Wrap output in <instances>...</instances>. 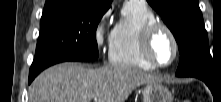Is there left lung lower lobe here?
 Returning a JSON list of instances; mask_svg holds the SVG:
<instances>
[{
  "label": "left lung lower lobe",
  "instance_id": "1",
  "mask_svg": "<svg viewBox=\"0 0 221 102\" xmlns=\"http://www.w3.org/2000/svg\"><path fill=\"white\" fill-rule=\"evenodd\" d=\"M199 79L203 80L208 85V87L212 88V83H213L212 78L211 79L210 78H199Z\"/></svg>",
  "mask_w": 221,
  "mask_h": 102
}]
</instances>
